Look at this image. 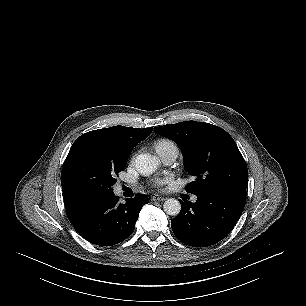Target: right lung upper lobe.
<instances>
[{
	"label": "right lung upper lobe",
	"mask_w": 306,
	"mask_h": 306,
	"mask_svg": "<svg viewBox=\"0 0 306 306\" xmlns=\"http://www.w3.org/2000/svg\"><path fill=\"white\" fill-rule=\"evenodd\" d=\"M153 128H132L124 126H114L105 129H97L81 135L72 145L70 150L80 145H85L91 149L100 151H112L130 154L138 142L144 140ZM64 203L67 213L74 211L81 206L91 202L74 198L67 191L63 190Z\"/></svg>",
	"instance_id": "right-lung-upper-lobe-1"
}]
</instances>
